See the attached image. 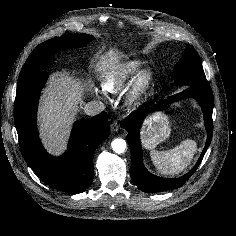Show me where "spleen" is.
<instances>
[{"instance_id": "1", "label": "spleen", "mask_w": 236, "mask_h": 236, "mask_svg": "<svg viewBox=\"0 0 236 236\" xmlns=\"http://www.w3.org/2000/svg\"><path fill=\"white\" fill-rule=\"evenodd\" d=\"M196 151V142L192 139H186L173 149L167 151L153 150L150 156L159 173L176 175L190 165Z\"/></svg>"}]
</instances>
